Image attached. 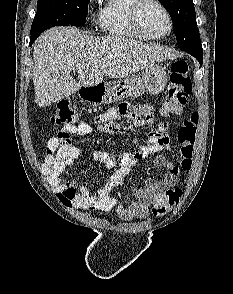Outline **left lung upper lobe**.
I'll list each match as a JSON object with an SVG mask.
<instances>
[{
  "mask_svg": "<svg viewBox=\"0 0 233 294\" xmlns=\"http://www.w3.org/2000/svg\"><path fill=\"white\" fill-rule=\"evenodd\" d=\"M159 2L171 16L179 48L196 57L202 64L203 49L193 0H159Z\"/></svg>",
  "mask_w": 233,
  "mask_h": 294,
  "instance_id": "5c2ea615",
  "label": "left lung upper lobe"
}]
</instances>
